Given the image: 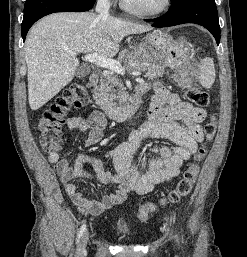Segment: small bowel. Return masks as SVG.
I'll list each match as a JSON object with an SVG mask.
<instances>
[{"instance_id": "obj_1", "label": "small bowel", "mask_w": 247, "mask_h": 257, "mask_svg": "<svg viewBox=\"0 0 247 257\" xmlns=\"http://www.w3.org/2000/svg\"><path fill=\"white\" fill-rule=\"evenodd\" d=\"M144 85L147 91L153 89L155 92L149 119L134 130L125 142L106 153V158L114 165L115 173L106 170L102 161L92 155L79 156L73 166L67 159L61 158L58 151L48 155V161L54 165L66 194L83 212L99 215L124 202L129 194L146 195L156 185L169 182L179 174L183 163L196 152L198 143L204 138L200 125L206 117L204 109L182 100L177 93L168 91L160 84ZM105 127L106 120L99 112L67 120L69 131L88 132L84 142L87 148L100 142ZM149 138L170 140L175 146L154 147L146 159L145 171L139 172L133 154ZM85 164H91L94 172L84 170ZM75 178L115 184L116 190L100 200H90L77 190L76 184L72 182Z\"/></svg>"}]
</instances>
